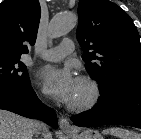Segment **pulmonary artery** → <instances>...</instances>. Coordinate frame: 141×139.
<instances>
[{
	"mask_svg": "<svg viewBox=\"0 0 141 139\" xmlns=\"http://www.w3.org/2000/svg\"><path fill=\"white\" fill-rule=\"evenodd\" d=\"M74 51L72 40H63L59 46L47 49L41 53V57L48 61H59Z\"/></svg>",
	"mask_w": 141,
	"mask_h": 139,
	"instance_id": "obj_1",
	"label": "pulmonary artery"
}]
</instances>
